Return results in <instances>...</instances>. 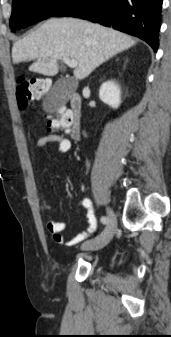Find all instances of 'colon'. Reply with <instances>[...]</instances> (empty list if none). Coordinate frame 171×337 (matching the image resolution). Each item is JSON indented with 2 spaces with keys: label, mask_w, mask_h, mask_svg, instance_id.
<instances>
[{
  "label": "colon",
  "mask_w": 171,
  "mask_h": 337,
  "mask_svg": "<svg viewBox=\"0 0 171 337\" xmlns=\"http://www.w3.org/2000/svg\"><path fill=\"white\" fill-rule=\"evenodd\" d=\"M49 82L38 77H20L16 82V99L20 110H26L35 97L47 93ZM55 106H60V101H55ZM49 119L47 129L49 132L67 131L69 129V117L66 112L52 116L46 113Z\"/></svg>",
  "instance_id": "colon-1"
}]
</instances>
